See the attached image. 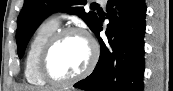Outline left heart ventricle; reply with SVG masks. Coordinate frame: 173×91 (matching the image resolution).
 I'll list each match as a JSON object with an SVG mask.
<instances>
[{
	"mask_svg": "<svg viewBox=\"0 0 173 91\" xmlns=\"http://www.w3.org/2000/svg\"><path fill=\"white\" fill-rule=\"evenodd\" d=\"M90 47L84 37L69 34L53 47L47 60V70L57 79L72 77L81 72L89 62Z\"/></svg>",
	"mask_w": 173,
	"mask_h": 91,
	"instance_id": "1",
	"label": "left heart ventricle"
}]
</instances>
